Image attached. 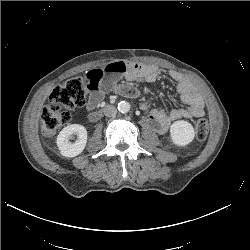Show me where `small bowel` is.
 <instances>
[{
  "mask_svg": "<svg viewBox=\"0 0 250 250\" xmlns=\"http://www.w3.org/2000/svg\"><path fill=\"white\" fill-rule=\"evenodd\" d=\"M162 73V70L153 65L127 62H113L102 68L92 69L86 74L89 90L87 108H95L109 91L129 94V90L120 83L122 78L155 83ZM168 74L175 81L176 91L186 106L170 112L143 106L147 122L159 133L166 132L174 121L204 115V101L193 84L175 71Z\"/></svg>",
  "mask_w": 250,
  "mask_h": 250,
  "instance_id": "c3829d8e",
  "label": "small bowel"
}]
</instances>
